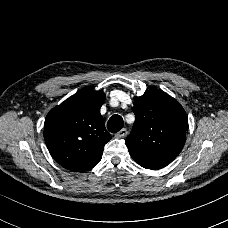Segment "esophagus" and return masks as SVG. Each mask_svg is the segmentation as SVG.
Segmentation results:
<instances>
[{
	"label": "esophagus",
	"instance_id": "34e87169",
	"mask_svg": "<svg viewBox=\"0 0 228 228\" xmlns=\"http://www.w3.org/2000/svg\"><path fill=\"white\" fill-rule=\"evenodd\" d=\"M127 134H128L127 129H126V128H123V129H121L119 132H117V133L115 134V137H116V138H124V137L127 136Z\"/></svg>",
	"mask_w": 228,
	"mask_h": 228
}]
</instances>
